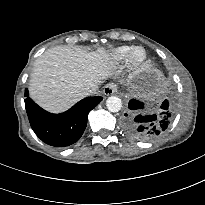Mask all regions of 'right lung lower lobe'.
I'll return each mask as SVG.
<instances>
[{"mask_svg": "<svg viewBox=\"0 0 205 205\" xmlns=\"http://www.w3.org/2000/svg\"><path fill=\"white\" fill-rule=\"evenodd\" d=\"M28 96L25 89V108L32 129L43 142L56 147L78 141L86 128L88 113L102 101V97H87L64 113L51 114Z\"/></svg>", "mask_w": 205, "mask_h": 205, "instance_id": "98d812e1", "label": "right lung lower lobe"}]
</instances>
